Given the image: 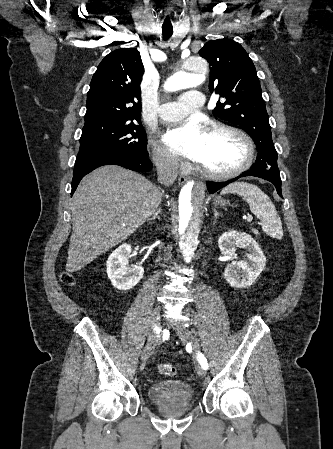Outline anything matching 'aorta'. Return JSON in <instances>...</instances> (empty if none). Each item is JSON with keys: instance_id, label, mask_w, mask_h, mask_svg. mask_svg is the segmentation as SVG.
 <instances>
[{"instance_id": "1", "label": "aorta", "mask_w": 333, "mask_h": 449, "mask_svg": "<svg viewBox=\"0 0 333 449\" xmlns=\"http://www.w3.org/2000/svg\"><path fill=\"white\" fill-rule=\"evenodd\" d=\"M183 70L174 73L164 84L167 91L195 87L203 83L208 73L204 57L193 55L181 61ZM206 183L189 180L179 194V225L177 236L181 253L186 262L194 257L200 232L199 213L205 197Z\"/></svg>"}]
</instances>
